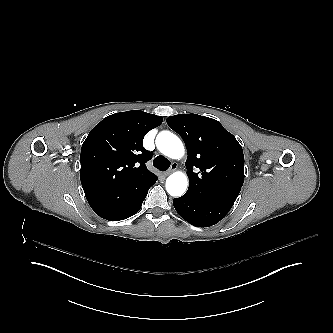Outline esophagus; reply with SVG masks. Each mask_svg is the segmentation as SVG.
Segmentation results:
<instances>
[{
	"label": "esophagus",
	"mask_w": 333,
	"mask_h": 333,
	"mask_svg": "<svg viewBox=\"0 0 333 333\" xmlns=\"http://www.w3.org/2000/svg\"><path fill=\"white\" fill-rule=\"evenodd\" d=\"M178 167V164L176 162H173L171 167L164 173L165 176L169 175L172 173L174 170H176Z\"/></svg>",
	"instance_id": "34e87169"
}]
</instances>
